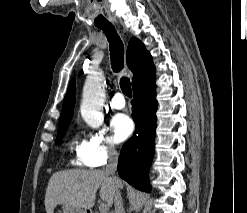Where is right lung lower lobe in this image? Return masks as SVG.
<instances>
[{
    "mask_svg": "<svg viewBox=\"0 0 247 213\" xmlns=\"http://www.w3.org/2000/svg\"><path fill=\"white\" fill-rule=\"evenodd\" d=\"M155 74L133 86L132 117L136 124L133 136L123 145L118 161L122 179L139 190L149 191L143 173L150 164L155 148L156 130Z\"/></svg>",
    "mask_w": 247,
    "mask_h": 213,
    "instance_id": "right-lung-lower-lobe-1",
    "label": "right lung lower lobe"
}]
</instances>
